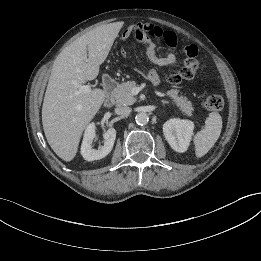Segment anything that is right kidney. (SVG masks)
<instances>
[{
  "instance_id": "right-kidney-1",
  "label": "right kidney",
  "mask_w": 261,
  "mask_h": 261,
  "mask_svg": "<svg viewBox=\"0 0 261 261\" xmlns=\"http://www.w3.org/2000/svg\"><path fill=\"white\" fill-rule=\"evenodd\" d=\"M95 137V124L90 123L85 129L81 145V155L87 161L102 159L111 152L116 139V130L114 128H109L103 133L104 145L100 146L98 149L92 148V143Z\"/></svg>"
}]
</instances>
